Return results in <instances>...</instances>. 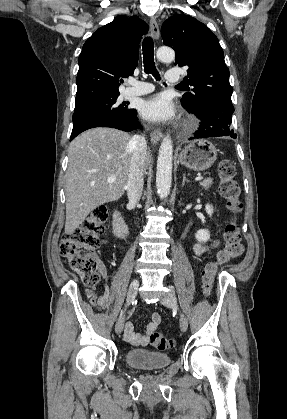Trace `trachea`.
<instances>
[{"instance_id": "3493384b", "label": "trachea", "mask_w": 287, "mask_h": 419, "mask_svg": "<svg viewBox=\"0 0 287 419\" xmlns=\"http://www.w3.org/2000/svg\"><path fill=\"white\" fill-rule=\"evenodd\" d=\"M142 51H143V63H144L145 73L152 74L156 78V80H159L160 75L155 67L154 43L151 37H147L144 39L142 43Z\"/></svg>"}]
</instances>
